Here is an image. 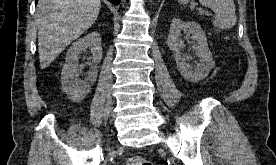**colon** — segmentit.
<instances>
[{"label": "colon", "mask_w": 276, "mask_h": 165, "mask_svg": "<svg viewBox=\"0 0 276 165\" xmlns=\"http://www.w3.org/2000/svg\"><path fill=\"white\" fill-rule=\"evenodd\" d=\"M126 165H152V164L141 156H131L127 159Z\"/></svg>", "instance_id": "obj_1"}]
</instances>
